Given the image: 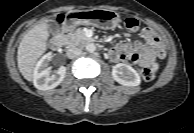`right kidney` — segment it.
Returning <instances> with one entry per match:
<instances>
[{
    "label": "right kidney",
    "mask_w": 194,
    "mask_h": 133,
    "mask_svg": "<svg viewBox=\"0 0 194 133\" xmlns=\"http://www.w3.org/2000/svg\"><path fill=\"white\" fill-rule=\"evenodd\" d=\"M52 54H45L36 64L33 73L34 86L39 90H50L57 87L64 79L66 67L61 66L56 73L51 74L48 67Z\"/></svg>",
    "instance_id": "1"
}]
</instances>
